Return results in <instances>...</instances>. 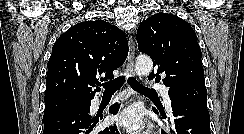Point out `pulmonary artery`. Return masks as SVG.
I'll use <instances>...</instances> for the list:
<instances>
[{
	"label": "pulmonary artery",
	"mask_w": 244,
	"mask_h": 134,
	"mask_svg": "<svg viewBox=\"0 0 244 134\" xmlns=\"http://www.w3.org/2000/svg\"><path fill=\"white\" fill-rule=\"evenodd\" d=\"M150 88L155 89L161 93V95L164 98L167 110L171 111V101H170L166 87L162 84H151Z\"/></svg>",
	"instance_id": "1"
}]
</instances>
